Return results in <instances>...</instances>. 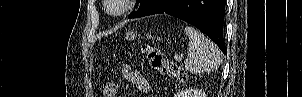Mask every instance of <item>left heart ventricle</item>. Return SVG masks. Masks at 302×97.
Segmentation results:
<instances>
[{
    "instance_id": "1",
    "label": "left heart ventricle",
    "mask_w": 302,
    "mask_h": 97,
    "mask_svg": "<svg viewBox=\"0 0 302 97\" xmlns=\"http://www.w3.org/2000/svg\"><path fill=\"white\" fill-rule=\"evenodd\" d=\"M120 8H121V5L117 2L114 3L113 6H112L113 11H118V10H120Z\"/></svg>"
}]
</instances>
